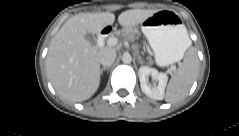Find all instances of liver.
I'll use <instances>...</instances> for the list:
<instances>
[{
  "label": "liver",
  "instance_id": "liver-1",
  "mask_svg": "<svg viewBox=\"0 0 239 136\" xmlns=\"http://www.w3.org/2000/svg\"><path fill=\"white\" fill-rule=\"evenodd\" d=\"M155 10H127L118 16L119 24L132 30ZM115 21L113 13H79L69 18L52 38L46 57L47 76L56 92L71 102H82L98 89L100 62L98 49L85 39L98 34Z\"/></svg>",
  "mask_w": 239,
  "mask_h": 136
}]
</instances>
